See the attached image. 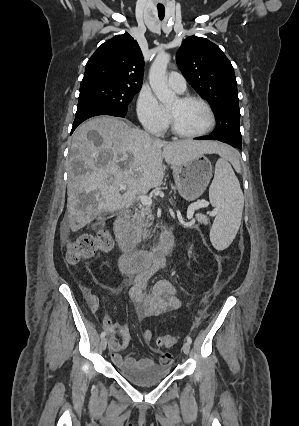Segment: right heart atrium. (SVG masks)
I'll use <instances>...</instances> for the list:
<instances>
[{
    "label": "right heart atrium",
    "instance_id": "right-heart-atrium-1",
    "mask_svg": "<svg viewBox=\"0 0 299 426\" xmlns=\"http://www.w3.org/2000/svg\"><path fill=\"white\" fill-rule=\"evenodd\" d=\"M137 117L142 126L154 134H162L168 126V114L149 87H143L136 102Z\"/></svg>",
    "mask_w": 299,
    "mask_h": 426
}]
</instances>
